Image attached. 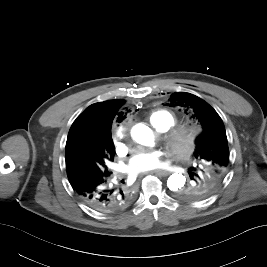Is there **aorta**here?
Segmentation results:
<instances>
[{
    "instance_id": "obj_1",
    "label": "aorta",
    "mask_w": 267,
    "mask_h": 267,
    "mask_svg": "<svg viewBox=\"0 0 267 267\" xmlns=\"http://www.w3.org/2000/svg\"><path fill=\"white\" fill-rule=\"evenodd\" d=\"M131 136L134 141L141 145L152 146L154 144V135L152 130L144 124H136L131 130ZM186 183V178L181 173H174L169 176L167 186L171 191L178 192Z\"/></svg>"
}]
</instances>
